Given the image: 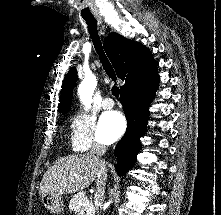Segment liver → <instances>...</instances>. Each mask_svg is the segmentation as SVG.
<instances>
[{"label": "liver", "mask_w": 221, "mask_h": 215, "mask_svg": "<svg viewBox=\"0 0 221 215\" xmlns=\"http://www.w3.org/2000/svg\"><path fill=\"white\" fill-rule=\"evenodd\" d=\"M104 179L107 171L104 163ZM101 162L89 153L73 154L56 160L43 176L39 194H72L90 186L100 175Z\"/></svg>", "instance_id": "obj_1"}]
</instances>
